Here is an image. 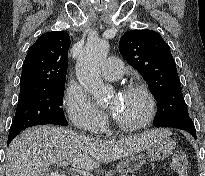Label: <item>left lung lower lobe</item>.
<instances>
[{"mask_svg":"<svg viewBox=\"0 0 205 176\" xmlns=\"http://www.w3.org/2000/svg\"><path fill=\"white\" fill-rule=\"evenodd\" d=\"M155 127H172L182 129L189 132L196 139V129L192 119L189 116L179 117L173 121Z\"/></svg>","mask_w":205,"mask_h":176,"instance_id":"1","label":"left lung lower lobe"}]
</instances>
